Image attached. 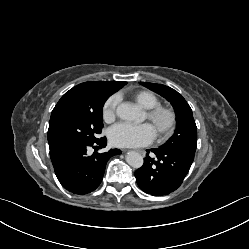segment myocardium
Instances as JSON below:
<instances>
[{"label": "myocardium", "mask_w": 249, "mask_h": 249, "mask_svg": "<svg viewBox=\"0 0 249 249\" xmlns=\"http://www.w3.org/2000/svg\"><path fill=\"white\" fill-rule=\"evenodd\" d=\"M147 119L156 126V133L161 138L169 137L177 124L176 112L163 105H157L147 110Z\"/></svg>", "instance_id": "myocardium-1"}]
</instances>
